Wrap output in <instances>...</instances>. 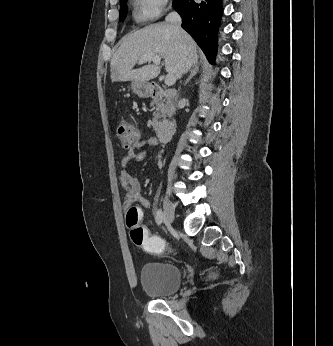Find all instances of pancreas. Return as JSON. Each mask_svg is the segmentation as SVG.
<instances>
[{
  "label": "pancreas",
  "mask_w": 333,
  "mask_h": 346,
  "mask_svg": "<svg viewBox=\"0 0 333 346\" xmlns=\"http://www.w3.org/2000/svg\"><path fill=\"white\" fill-rule=\"evenodd\" d=\"M151 105L156 106V111L153 113V120L151 122V125L154 131H158L166 121L168 105L164 101L160 100H153L151 102Z\"/></svg>",
  "instance_id": "cf45deb5"
}]
</instances>
